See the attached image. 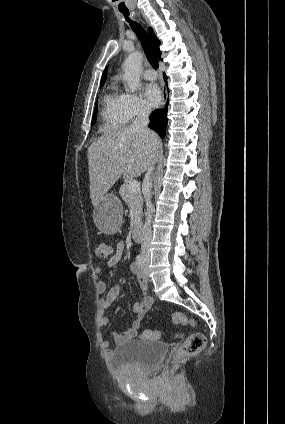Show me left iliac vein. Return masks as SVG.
<instances>
[{"instance_id": "1", "label": "left iliac vein", "mask_w": 285, "mask_h": 424, "mask_svg": "<svg viewBox=\"0 0 285 424\" xmlns=\"http://www.w3.org/2000/svg\"><path fill=\"white\" fill-rule=\"evenodd\" d=\"M142 271H143V274L146 272V258H145L143 266H142Z\"/></svg>"}]
</instances>
